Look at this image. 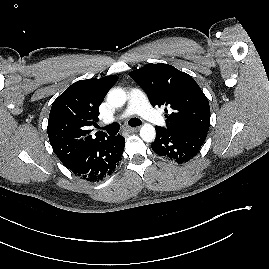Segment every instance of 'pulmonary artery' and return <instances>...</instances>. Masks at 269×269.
Returning a JSON list of instances; mask_svg holds the SVG:
<instances>
[{"label":"pulmonary artery","instance_id":"e3ab8cb5","mask_svg":"<svg viewBox=\"0 0 269 269\" xmlns=\"http://www.w3.org/2000/svg\"><path fill=\"white\" fill-rule=\"evenodd\" d=\"M133 114H139L144 119L154 124H163L164 120L148 103L146 96L139 89H131L127 108L119 116V119L127 118Z\"/></svg>","mask_w":269,"mask_h":269}]
</instances>
